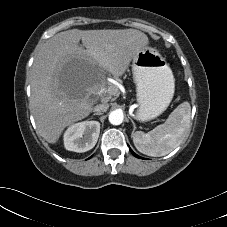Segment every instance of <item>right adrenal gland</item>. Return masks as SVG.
Wrapping results in <instances>:
<instances>
[{"mask_svg": "<svg viewBox=\"0 0 227 227\" xmlns=\"http://www.w3.org/2000/svg\"><path fill=\"white\" fill-rule=\"evenodd\" d=\"M102 113H94L93 115H101Z\"/></svg>", "mask_w": 227, "mask_h": 227, "instance_id": "1", "label": "right adrenal gland"}]
</instances>
